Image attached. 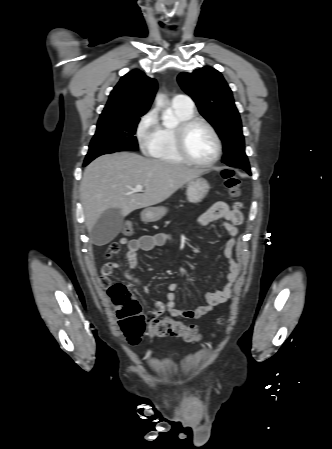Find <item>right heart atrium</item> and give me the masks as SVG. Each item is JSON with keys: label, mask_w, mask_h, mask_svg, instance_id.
<instances>
[{"label": "right heart atrium", "mask_w": 332, "mask_h": 449, "mask_svg": "<svg viewBox=\"0 0 332 449\" xmlns=\"http://www.w3.org/2000/svg\"><path fill=\"white\" fill-rule=\"evenodd\" d=\"M157 129L156 116L153 111L146 113L139 121L136 135L142 150H147L153 141Z\"/></svg>", "instance_id": "d8ad5b80"}]
</instances>
